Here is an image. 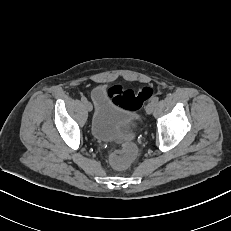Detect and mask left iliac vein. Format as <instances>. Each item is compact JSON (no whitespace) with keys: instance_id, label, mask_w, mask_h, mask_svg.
Here are the masks:
<instances>
[{"instance_id":"1","label":"left iliac vein","mask_w":231,"mask_h":231,"mask_svg":"<svg viewBox=\"0 0 231 231\" xmlns=\"http://www.w3.org/2000/svg\"><path fill=\"white\" fill-rule=\"evenodd\" d=\"M155 102L151 101L150 103L147 104L146 106V112L147 114H151L155 108Z\"/></svg>"}]
</instances>
